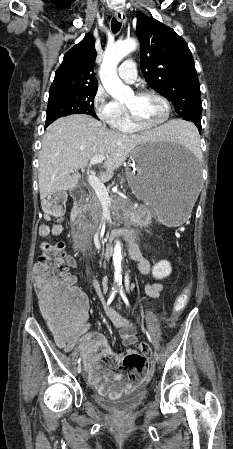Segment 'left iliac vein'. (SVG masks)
<instances>
[{
  "label": "left iliac vein",
  "mask_w": 233,
  "mask_h": 449,
  "mask_svg": "<svg viewBox=\"0 0 233 449\" xmlns=\"http://www.w3.org/2000/svg\"><path fill=\"white\" fill-rule=\"evenodd\" d=\"M153 359L155 362H157L159 360V355L156 351H154V353H153Z\"/></svg>",
  "instance_id": "4c4485c4"
}]
</instances>
